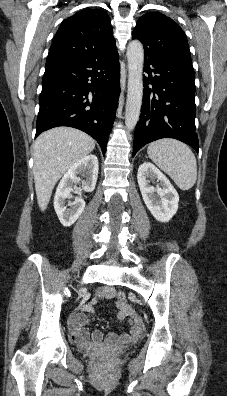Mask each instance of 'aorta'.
<instances>
[{
    "label": "aorta",
    "mask_w": 227,
    "mask_h": 396,
    "mask_svg": "<svg viewBox=\"0 0 227 396\" xmlns=\"http://www.w3.org/2000/svg\"><path fill=\"white\" fill-rule=\"evenodd\" d=\"M128 92L125 109V125L132 131L140 116L143 97L144 49L140 41L133 40L127 48Z\"/></svg>",
    "instance_id": "obj_1"
}]
</instances>
